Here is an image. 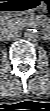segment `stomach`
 I'll use <instances>...</instances> for the list:
<instances>
[{
    "label": "stomach",
    "mask_w": 50,
    "mask_h": 111,
    "mask_svg": "<svg viewBox=\"0 0 50 111\" xmlns=\"http://www.w3.org/2000/svg\"><path fill=\"white\" fill-rule=\"evenodd\" d=\"M2 12L6 16H20L38 10L44 4L43 0H7L2 2Z\"/></svg>",
    "instance_id": "stomach-1"
}]
</instances>
